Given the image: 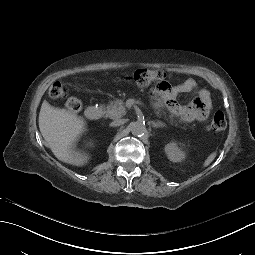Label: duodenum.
Instances as JSON below:
<instances>
[{
    "mask_svg": "<svg viewBox=\"0 0 255 255\" xmlns=\"http://www.w3.org/2000/svg\"><path fill=\"white\" fill-rule=\"evenodd\" d=\"M103 110L100 107L90 106L85 110V116L89 120H98L102 117Z\"/></svg>",
    "mask_w": 255,
    "mask_h": 255,
    "instance_id": "1",
    "label": "duodenum"
}]
</instances>
